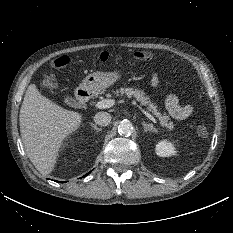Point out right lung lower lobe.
I'll return each mask as SVG.
<instances>
[{"instance_id":"1","label":"right lung lower lobe","mask_w":233,"mask_h":233,"mask_svg":"<svg viewBox=\"0 0 233 233\" xmlns=\"http://www.w3.org/2000/svg\"><path fill=\"white\" fill-rule=\"evenodd\" d=\"M89 173H90V172H89ZM89 173H87L85 176H87ZM85 176H84V177H85ZM57 182H58V181H57Z\"/></svg>"}]
</instances>
